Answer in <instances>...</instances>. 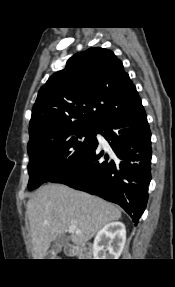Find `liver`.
<instances>
[{
  "label": "liver",
  "mask_w": 175,
  "mask_h": 287,
  "mask_svg": "<svg viewBox=\"0 0 175 287\" xmlns=\"http://www.w3.org/2000/svg\"><path fill=\"white\" fill-rule=\"evenodd\" d=\"M34 259H44L51 242L69 232L84 246L102 227L121 218L120 210L105 200L62 184L39 188L27 202ZM76 225L72 231L71 226Z\"/></svg>",
  "instance_id": "6515ba94"
}]
</instances>
